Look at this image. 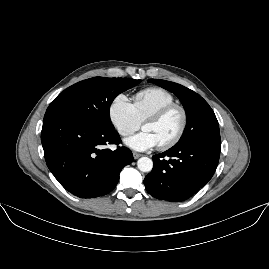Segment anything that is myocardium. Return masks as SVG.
<instances>
[{
  "label": "myocardium",
  "instance_id": "1",
  "mask_svg": "<svg viewBox=\"0 0 269 269\" xmlns=\"http://www.w3.org/2000/svg\"><path fill=\"white\" fill-rule=\"evenodd\" d=\"M172 111H178L181 115V126L178 130V132L176 133V135L166 144L162 145V146H158V149L161 151H166L171 149L172 147H174L175 145H177L180 140L183 138V136L185 135V132L187 130L188 127V113L186 111V109L182 106L179 105L177 103H171L165 106H162L160 108H157L155 110H153L152 112H150L146 118L144 119L143 125L144 123L152 118H158V117H162L165 116L166 114L172 112Z\"/></svg>",
  "mask_w": 269,
  "mask_h": 269
}]
</instances>
